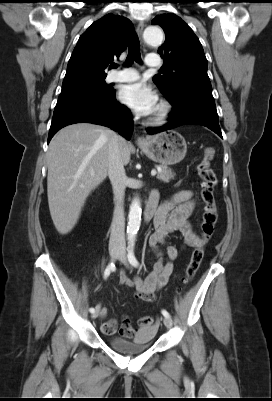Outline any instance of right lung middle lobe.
I'll use <instances>...</instances> for the list:
<instances>
[{"mask_svg":"<svg viewBox=\"0 0 272 401\" xmlns=\"http://www.w3.org/2000/svg\"><path fill=\"white\" fill-rule=\"evenodd\" d=\"M114 93L104 80L62 90L55 109L82 101H105Z\"/></svg>","mask_w":272,"mask_h":401,"instance_id":"obj_1","label":"right lung middle lobe"}]
</instances>
